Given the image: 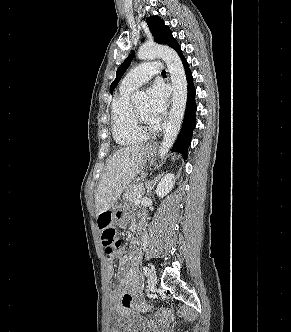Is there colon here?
Returning <instances> with one entry per match:
<instances>
[{
  "mask_svg": "<svg viewBox=\"0 0 291 332\" xmlns=\"http://www.w3.org/2000/svg\"><path fill=\"white\" fill-rule=\"evenodd\" d=\"M98 225L101 232V239L105 255L108 258H111L114 256L115 249L119 245L112 214L109 212L102 213L98 219ZM112 331H115L114 328Z\"/></svg>",
  "mask_w": 291,
  "mask_h": 332,
  "instance_id": "colon-1",
  "label": "colon"
}]
</instances>
